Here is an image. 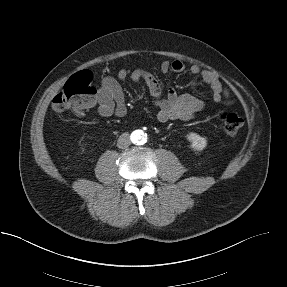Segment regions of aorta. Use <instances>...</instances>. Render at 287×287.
Segmentation results:
<instances>
[{
  "label": "aorta",
  "instance_id": "aorta-1",
  "mask_svg": "<svg viewBox=\"0 0 287 287\" xmlns=\"http://www.w3.org/2000/svg\"><path fill=\"white\" fill-rule=\"evenodd\" d=\"M131 138L135 143H145L147 135L141 130H136L131 134Z\"/></svg>",
  "mask_w": 287,
  "mask_h": 287
}]
</instances>
